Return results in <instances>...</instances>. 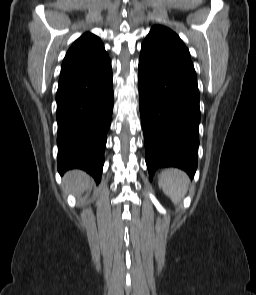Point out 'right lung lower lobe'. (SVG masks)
I'll return each mask as SVG.
<instances>
[{"mask_svg":"<svg viewBox=\"0 0 256 295\" xmlns=\"http://www.w3.org/2000/svg\"><path fill=\"white\" fill-rule=\"evenodd\" d=\"M56 102L59 173L80 168L99 182L113 112L110 59L60 75Z\"/></svg>","mask_w":256,"mask_h":295,"instance_id":"obj_1","label":"right lung lower lobe"}]
</instances>
